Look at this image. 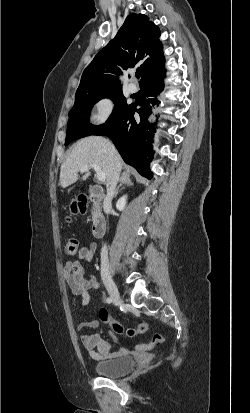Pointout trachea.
<instances>
[{
  "label": "trachea",
  "instance_id": "trachea-1",
  "mask_svg": "<svg viewBox=\"0 0 250 413\" xmlns=\"http://www.w3.org/2000/svg\"><path fill=\"white\" fill-rule=\"evenodd\" d=\"M136 77L139 79V77H140V71H136Z\"/></svg>",
  "mask_w": 250,
  "mask_h": 413
}]
</instances>
